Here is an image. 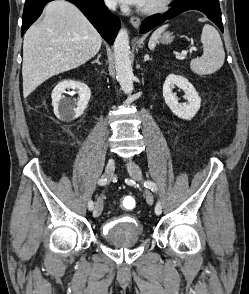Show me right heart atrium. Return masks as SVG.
I'll list each match as a JSON object with an SVG mask.
<instances>
[{
  "label": "right heart atrium",
  "mask_w": 249,
  "mask_h": 294,
  "mask_svg": "<svg viewBox=\"0 0 249 294\" xmlns=\"http://www.w3.org/2000/svg\"><path fill=\"white\" fill-rule=\"evenodd\" d=\"M104 3L110 9L115 7V0H104Z\"/></svg>",
  "instance_id": "d8ad5b80"
}]
</instances>
